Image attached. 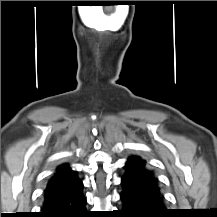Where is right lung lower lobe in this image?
<instances>
[{
    "label": "right lung lower lobe",
    "mask_w": 217,
    "mask_h": 217,
    "mask_svg": "<svg viewBox=\"0 0 217 217\" xmlns=\"http://www.w3.org/2000/svg\"><path fill=\"white\" fill-rule=\"evenodd\" d=\"M82 189L83 186L70 194L45 200L36 217H90Z\"/></svg>",
    "instance_id": "obj_1"
}]
</instances>
